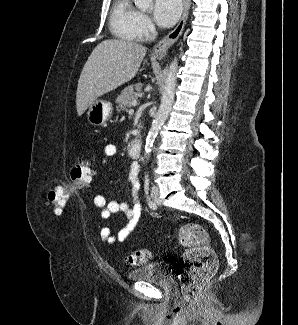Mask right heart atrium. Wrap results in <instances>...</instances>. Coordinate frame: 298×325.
I'll list each match as a JSON object with an SVG mask.
<instances>
[{"label": "right heart atrium", "instance_id": "obj_1", "mask_svg": "<svg viewBox=\"0 0 298 325\" xmlns=\"http://www.w3.org/2000/svg\"><path fill=\"white\" fill-rule=\"evenodd\" d=\"M154 31L155 28L148 15L145 13H140L136 30H133V37L135 41H152Z\"/></svg>", "mask_w": 298, "mask_h": 325}]
</instances>
